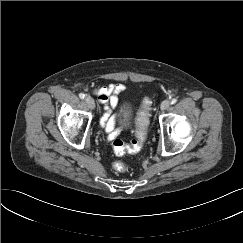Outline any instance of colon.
Wrapping results in <instances>:
<instances>
[{
  "label": "colon",
  "instance_id": "5ec220e1",
  "mask_svg": "<svg viewBox=\"0 0 243 243\" xmlns=\"http://www.w3.org/2000/svg\"><path fill=\"white\" fill-rule=\"evenodd\" d=\"M150 110L151 102L148 98H145L137 114L135 138L129 144H126L121 139H115L113 141V152L117 156H122L126 153H136L141 150L147 135ZM113 168L117 172H124L126 170V166L121 162H114Z\"/></svg>",
  "mask_w": 243,
  "mask_h": 243
}]
</instances>
